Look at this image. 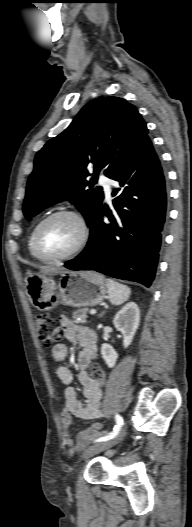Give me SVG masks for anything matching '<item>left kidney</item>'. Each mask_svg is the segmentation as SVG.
<instances>
[{"label":"left kidney","instance_id":"5707ae66","mask_svg":"<svg viewBox=\"0 0 192 527\" xmlns=\"http://www.w3.org/2000/svg\"><path fill=\"white\" fill-rule=\"evenodd\" d=\"M140 323V310L134 302L127 303L114 317L113 324L123 335V346L127 348ZM101 354L108 367H114L118 354L109 344H102Z\"/></svg>","mask_w":192,"mask_h":527}]
</instances>
